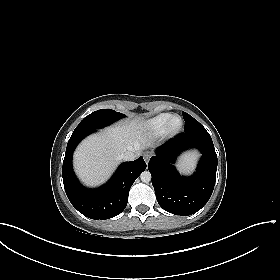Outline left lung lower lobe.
Listing matches in <instances>:
<instances>
[{
	"label": "left lung lower lobe",
	"mask_w": 280,
	"mask_h": 280,
	"mask_svg": "<svg viewBox=\"0 0 280 280\" xmlns=\"http://www.w3.org/2000/svg\"><path fill=\"white\" fill-rule=\"evenodd\" d=\"M196 148L202 153L196 172L181 176L173 166L182 151ZM159 205L175 215L199 211L209 200L216 181L217 155L207 131L182 133L165 142L148 163Z\"/></svg>",
	"instance_id": "left-lung-lower-lobe-1"
}]
</instances>
